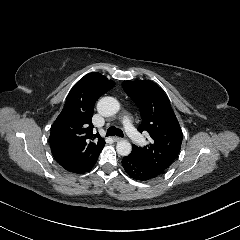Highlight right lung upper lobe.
<instances>
[{
  "label": "right lung upper lobe",
  "instance_id": "right-lung-upper-lobe-1",
  "mask_svg": "<svg viewBox=\"0 0 240 240\" xmlns=\"http://www.w3.org/2000/svg\"><path fill=\"white\" fill-rule=\"evenodd\" d=\"M113 86L102 74L90 73L71 89L49 137L55 160L67 171L83 173L95 165L105 141L93 133L94 104Z\"/></svg>",
  "mask_w": 240,
  "mask_h": 240
}]
</instances>
